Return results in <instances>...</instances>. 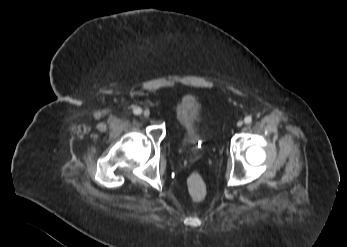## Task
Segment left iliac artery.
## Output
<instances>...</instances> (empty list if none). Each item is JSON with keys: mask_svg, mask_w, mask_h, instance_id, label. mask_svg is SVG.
Instances as JSON below:
<instances>
[{"mask_svg": "<svg viewBox=\"0 0 347 247\" xmlns=\"http://www.w3.org/2000/svg\"><path fill=\"white\" fill-rule=\"evenodd\" d=\"M244 122H245L246 124H250V123L252 122V117H251V116H246V117L244 118Z\"/></svg>", "mask_w": 347, "mask_h": 247, "instance_id": "left-iliac-artery-1", "label": "left iliac artery"}]
</instances>
